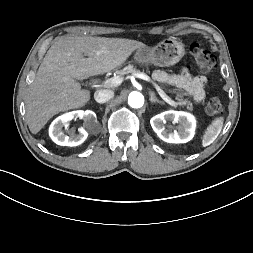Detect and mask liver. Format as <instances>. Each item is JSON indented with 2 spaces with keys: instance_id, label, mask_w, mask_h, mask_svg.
<instances>
[{
  "instance_id": "obj_1",
  "label": "liver",
  "mask_w": 253,
  "mask_h": 253,
  "mask_svg": "<svg viewBox=\"0 0 253 253\" xmlns=\"http://www.w3.org/2000/svg\"><path fill=\"white\" fill-rule=\"evenodd\" d=\"M144 47L142 42L123 38L75 36L57 40L28 88L26 119L30 131L36 134L54 115L87 104L90 92L81 89L77 80L110 72Z\"/></svg>"
}]
</instances>
